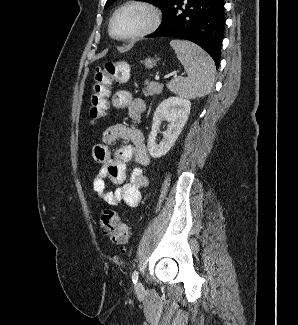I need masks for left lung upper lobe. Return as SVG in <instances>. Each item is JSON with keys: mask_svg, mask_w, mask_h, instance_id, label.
I'll return each mask as SVG.
<instances>
[{"mask_svg": "<svg viewBox=\"0 0 298 325\" xmlns=\"http://www.w3.org/2000/svg\"><path fill=\"white\" fill-rule=\"evenodd\" d=\"M114 1L115 0H107L105 8L111 5ZM152 1L160 5L163 8V10H165L172 0H152Z\"/></svg>", "mask_w": 298, "mask_h": 325, "instance_id": "5c2ea615", "label": "left lung upper lobe"}]
</instances>
